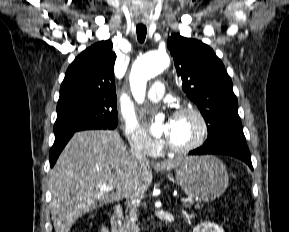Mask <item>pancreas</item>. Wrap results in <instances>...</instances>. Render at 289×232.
<instances>
[{
  "label": "pancreas",
  "instance_id": "1",
  "mask_svg": "<svg viewBox=\"0 0 289 232\" xmlns=\"http://www.w3.org/2000/svg\"><path fill=\"white\" fill-rule=\"evenodd\" d=\"M136 209H131L126 213L123 228L125 232H138Z\"/></svg>",
  "mask_w": 289,
  "mask_h": 232
}]
</instances>
